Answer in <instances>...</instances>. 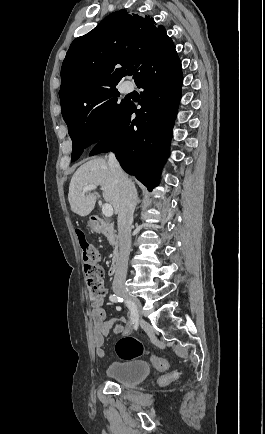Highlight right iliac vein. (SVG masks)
I'll list each match as a JSON object with an SVG mask.
<instances>
[{
    "label": "right iliac vein",
    "instance_id": "1",
    "mask_svg": "<svg viewBox=\"0 0 265 434\" xmlns=\"http://www.w3.org/2000/svg\"><path fill=\"white\" fill-rule=\"evenodd\" d=\"M114 292L117 293L118 295H121L124 299L128 300L129 302H131V304L137 309V311H139V313L141 314L140 310H141V303L139 301V299L134 296V295H130L126 289L124 288V286L119 285L113 288ZM144 321L141 319L140 323H143Z\"/></svg>",
    "mask_w": 265,
    "mask_h": 434
}]
</instances>
